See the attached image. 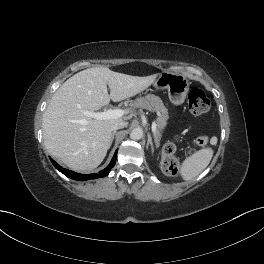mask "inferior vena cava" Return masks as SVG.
<instances>
[{"label": "inferior vena cava", "mask_w": 264, "mask_h": 264, "mask_svg": "<svg viewBox=\"0 0 264 264\" xmlns=\"http://www.w3.org/2000/svg\"><path fill=\"white\" fill-rule=\"evenodd\" d=\"M127 122L125 121H121V122H117L112 126V131H116L118 129L124 128L127 126Z\"/></svg>", "instance_id": "inferior-vena-cava-1"}]
</instances>
